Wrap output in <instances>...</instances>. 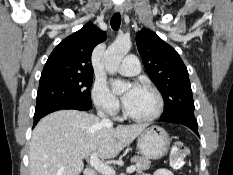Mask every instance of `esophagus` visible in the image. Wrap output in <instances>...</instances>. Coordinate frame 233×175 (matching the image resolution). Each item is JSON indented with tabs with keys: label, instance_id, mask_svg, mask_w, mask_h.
I'll use <instances>...</instances> for the list:
<instances>
[{
	"label": "esophagus",
	"instance_id": "1",
	"mask_svg": "<svg viewBox=\"0 0 233 175\" xmlns=\"http://www.w3.org/2000/svg\"><path fill=\"white\" fill-rule=\"evenodd\" d=\"M124 9H123V6L122 5H116L115 6V12L117 13H123Z\"/></svg>",
	"mask_w": 233,
	"mask_h": 175
}]
</instances>
